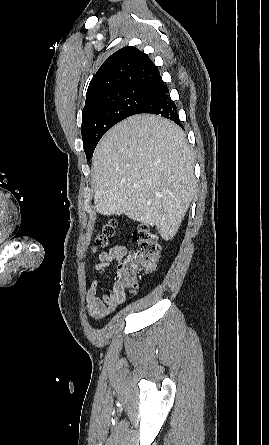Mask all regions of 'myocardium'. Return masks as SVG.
<instances>
[{"instance_id":"1","label":"myocardium","mask_w":269,"mask_h":445,"mask_svg":"<svg viewBox=\"0 0 269 445\" xmlns=\"http://www.w3.org/2000/svg\"><path fill=\"white\" fill-rule=\"evenodd\" d=\"M6 238H7V236H5V237L1 238V239H0V241H2V240H5Z\"/></svg>"}]
</instances>
